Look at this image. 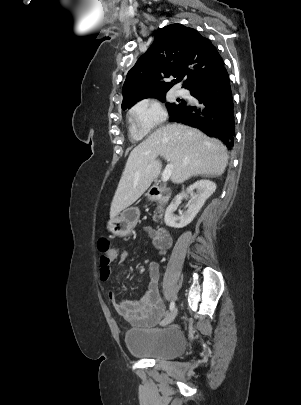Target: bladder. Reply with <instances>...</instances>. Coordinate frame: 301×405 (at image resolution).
<instances>
[{
    "label": "bladder",
    "instance_id": "bladder-1",
    "mask_svg": "<svg viewBox=\"0 0 301 405\" xmlns=\"http://www.w3.org/2000/svg\"><path fill=\"white\" fill-rule=\"evenodd\" d=\"M128 351L137 357L171 360L186 348L184 333L177 327L134 328L125 334Z\"/></svg>",
    "mask_w": 301,
    "mask_h": 405
}]
</instances>
